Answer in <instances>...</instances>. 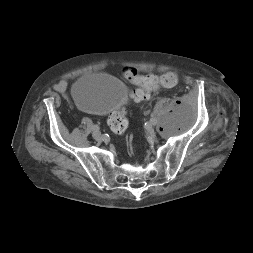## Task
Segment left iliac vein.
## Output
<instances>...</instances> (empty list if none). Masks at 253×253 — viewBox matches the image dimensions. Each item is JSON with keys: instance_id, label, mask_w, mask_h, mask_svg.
I'll return each instance as SVG.
<instances>
[{"instance_id": "left-iliac-vein-1", "label": "left iliac vein", "mask_w": 253, "mask_h": 253, "mask_svg": "<svg viewBox=\"0 0 253 253\" xmlns=\"http://www.w3.org/2000/svg\"><path fill=\"white\" fill-rule=\"evenodd\" d=\"M147 133H148V135H150V136H154V135H155V132H154V130H153L151 124H150V125L148 126V128H147Z\"/></svg>"}]
</instances>
